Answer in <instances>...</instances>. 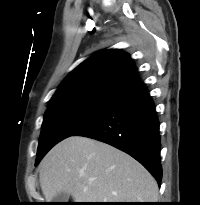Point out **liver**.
Returning <instances> with one entry per match:
<instances>
[{"mask_svg":"<svg viewBox=\"0 0 200 205\" xmlns=\"http://www.w3.org/2000/svg\"><path fill=\"white\" fill-rule=\"evenodd\" d=\"M42 193L74 202H156L158 185L135 159L103 142L72 136L55 145L39 166Z\"/></svg>","mask_w":200,"mask_h":205,"instance_id":"6515ba94","label":"liver"}]
</instances>
